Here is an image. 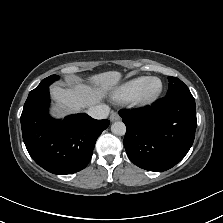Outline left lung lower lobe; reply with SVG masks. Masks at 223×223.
I'll return each mask as SVG.
<instances>
[{
	"label": "left lung lower lobe",
	"mask_w": 223,
	"mask_h": 223,
	"mask_svg": "<svg viewBox=\"0 0 223 223\" xmlns=\"http://www.w3.org/2000/svg\"><path fill=\"white\" fill-rule=\"evenodd\" d=\"M129 159L149 171H165L191 148L197 126L193 97L165 96L151 106L121 110Z\"/></svg>",
	"instance_id": "left-lung-lower-lobe-1"
}]
</instances>
